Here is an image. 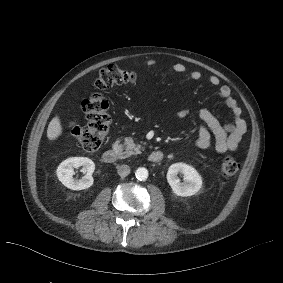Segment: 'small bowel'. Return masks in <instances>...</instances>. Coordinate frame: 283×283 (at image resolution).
<instances>
[{
  "label": "small bowel",
  "instance_id": "small-bowel-1",
  "mask_svg": "<svg viewBox=\"0 0 283 283\" xmlns=\"http://www.w3.org/2000/svg\"><path fill=\"white\" fill-rule=\"evenodd\" d=\"M142 64L153 66L156 64V61L154 59H148L143 61ZM172 69L176 73L187 72L186 66L182 63L173 64ZM189 77L192 80H201L203 74L199 70H191ZM206 80L212 86H219L217 94L225 102L226 107L233 116V120L229 124H222L209 109L202 108L198 110L197 114L202 124L199 127L195 145L201 149L208 148L211 145V136L213 134L217 152L225 153L235 150L247 129L246 122L242 117V111L237 101L232 97L230 88L225 85L220 86V79L217 76L209 75L206 77ZM190 114L191 110L187 108L180 109L176 112L178 118H185Z\"/></svg>",
  "mask_w": 283,
  "mask_h": 283
}]
</instances>
